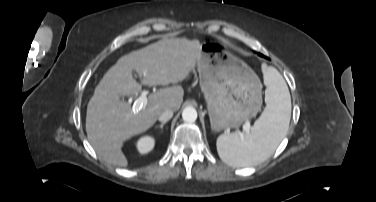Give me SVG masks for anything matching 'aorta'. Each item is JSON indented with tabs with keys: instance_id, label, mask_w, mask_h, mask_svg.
<instances>
[{
	"instance_id": "obj_1",
	"label": "aorta",
	"mask_w": 376,
	"mask_h": 202,
	"mask_svg": "<svg viewBox=\"0 0 376 202\" xmlns=\"http://www.w3.org/2000/svg\"><path fill=\"white\" fill-rule=\"evenodd\" d=\"M182 118L186 122H194L197 119V111L194 107L188 106L182 112Z\"/></svg>"
}]
</instances>
